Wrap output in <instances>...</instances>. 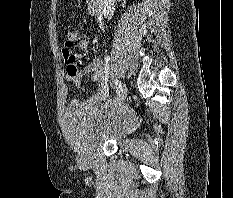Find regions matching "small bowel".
I'll return each mask as SVG.
<instances>
[{"label":"small bowel","instance_id":"small-bowel-1","mask_svg":"<svg viewBox=\"0 0 233 198\" xmlns=\"http://www.w3.org/2000/svg\"><path fill=\"white\" fill-rule=\"evenodd\" d=\"M89 39L87 36L79 37L78 47L84 54L88 51ZM84 54L72 51V48L64 46L62 55L67 65L66 77L70 80L75 89L81 86L82 79L88 74H96L99 77L97 90L87 99H73L70 107L73 110L89 111L99 102L105 100L109 93V86L106 80V68L104 62L95 58L92 62L83 68H79V63L83 60Z\"/></svg>","mask_w":233,"mask_h":198}]
</instances>
